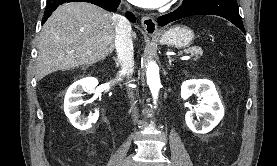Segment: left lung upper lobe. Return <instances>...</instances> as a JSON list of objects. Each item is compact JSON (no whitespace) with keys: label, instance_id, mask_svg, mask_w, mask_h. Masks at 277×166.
Masks as SVG:
<instances>
[{"label":"left lung upper lobe","instance_id":"left-lung-upper-lobe-1","mask_svg":"<svg viewBox=\"0 0 277 166\" xmlns=\"http://www.w3.org/2000/svg\"><path fill=\"white\" fill-rule=\"evenodd\" d=\"M193 0H183V3H188V2H191Z\"/></svg>","mask_w":277,"mask_h":166}]
</instances>
